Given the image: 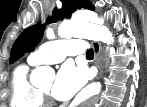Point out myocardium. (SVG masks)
<instances>
[{
  "instance_id": "f54148a6",
  "label": "myocardium",
  "mask_w": 147,
  "mask_h": 107,
  "mask_svg": "<svg viewBox=\"0 0 147 107\" xmlns=\"http://www.w3.org/2000/svg\"><path fill=\"white\" fill-rule=\"evenodd\" d=\"M37 91H38L42 101H44L46 104H53L54 103L49 92H47L41 88H37Z\"/></svg>"
}]
</instances>
